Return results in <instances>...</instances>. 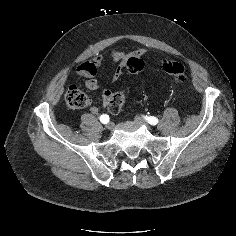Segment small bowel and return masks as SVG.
Masks as SVG:
<instances>
[{
    "instance_id": "small-bowel-1",
    "label": "small bowel",
    "mask_w": 236,
    "mask_h": 236,
    "mask_svg": "<svg viewBox=\"0 0 236 236\" xmlns=\"http://www.w3.org/2000/svg\"><path fill=\"white\" fill-rule=\"evenodd\" d=\"M146 53L145 49H137L132 52H125L122 50H112L109 53L111 61L116 65V69L113 74V82L119 80L122 76L124 69L127 66V62L132 57H142ZM102 65L101 55H96L91 61H86L81 63L76 71L80 76L86 77L87 81L85 83L86 87L91 91H96L99 89V84L96 79L98 70ZM103 106H107L113 93L109 89L101 90ZM91 114H97L98 108L96 106H91L89 109Z\"/></svg>"
}]
</instances>
